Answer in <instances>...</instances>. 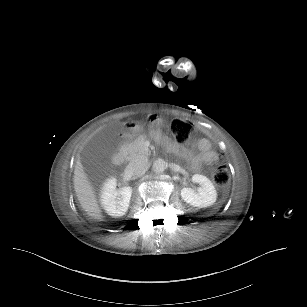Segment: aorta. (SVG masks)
Segmentation results:
<instances>
[{
	"instance_id": "aorta-1",
	"label": "aorta",
	"mask_w": 307,
	"mask_h": 307,
	"mask_svg": "<svg viewBox=\"0 0 307 307\" xmlns=\"http://www.w3.org/2000/svg\"><path fill=\"white\" fill-rule=\"evenodd\" d=\"M167 164L164 160L162 159H157L154 161L153 165H152V170L156 173V174H162L164 172V170L166 169Z\"/></svg>"
}]
</instances>
